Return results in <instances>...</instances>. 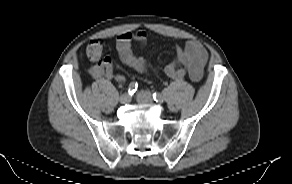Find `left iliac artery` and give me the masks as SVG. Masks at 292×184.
<instances>
[{
  "label": "left iliac artery",
  "instance_id": "obj_1",
  "mask_svg": "<svg viewBox=\"0 0 292 184\" xmlns=\"http://www.w3.org/2000/svg\"><path fill=\"white\" fill-rule=\"evenodd\" d=\"M153 99H154L156 102H159V103H163V101H164L163 96H162L160 93H158V92H154V93H153Z\"/></svg>",
  "mask_w": 292,
  "mask_h": 184
}]
</instances>
